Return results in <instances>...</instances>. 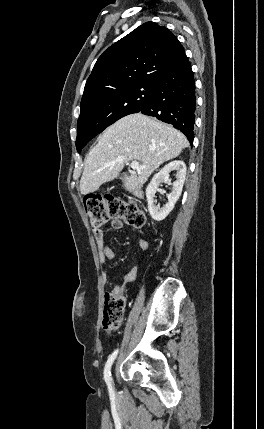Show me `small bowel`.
Listing matches in <instances>:
<instances>
[{"label": "small bowel", "instance_id": "c3829d8e", "mask_svg": "<svg viewBox=\"0 0 264 429\" xmlns=\"http://www.w3.org/2000/svg\"><path fill=\"white\" fill-rule=\"evenodd\" d=\"M111 227L114 230H120L123 227V223L119 219H115L111 222ZM97 246L99 249V256L101 264H105L106 261H112L115 258L114 251L106 244L104 235L102 232H98L95 234ZM138 246L142 252H145L148 249V242L144 238H139ZM138 267L134 266L121 276V284L117 285L114 289L116 293H122L125 286L134 281L137 275ZM104 279H106V275L104 274Z\"/></svg>", "mask_w": 264, "mask_h": 429}]
</instances>
